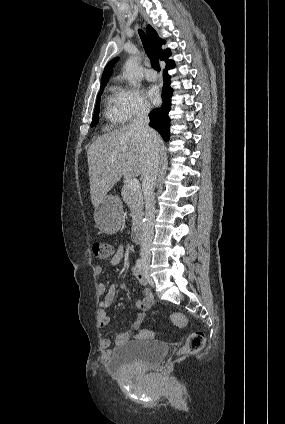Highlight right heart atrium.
Masks as SVG:
<instances>
[{
  "instance_id": "d8ad5b80",
  "label": "right heart atrium",
  "mask_w": 285,
  "mask_h": 424,
  "mask_svg": "<svg viewBox=\"0 0 285 424\" xmlns=\"http://www.w3.org/2000/svg\"><path fill=\"white\" fill-rule=\"evenodd\" d=\"M119 101L126 122L145 116L150 112V104L138 89L121 88Z\"/></svg>"
}]
</instances>
